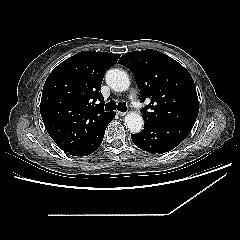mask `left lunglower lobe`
Here are the masks:
<instances>
[{
    "label": "left lung lower lobe",
    "instance_id": "1",
    "mask_svg": "<svg viewBox=\"0 0 240 240\" xmlns=\"http://www.w3.org/2000/svg\"><path fill=\"white\" fill-rule=\"evenodd\" d=\"M194 123H151L145 122L144 129L131 134L133 143L149 153L168 152L178 146L191 132Z\"/></svg>",
    "mask_w": 240,
    "mask_h": 240
}]
</instances>
